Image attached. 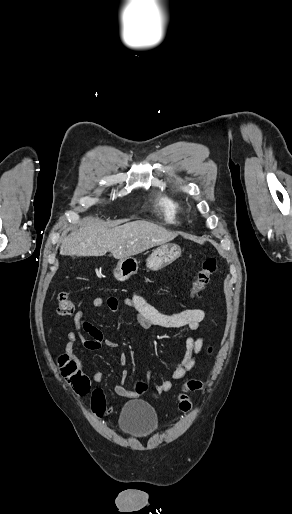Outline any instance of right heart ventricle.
I'll use <instances>...</instances> for the list:
<instances>
[{"label": "right heart ventricle", "mask_w": 292, "mask_h": 514, "mask_svg": "<svg viewBox=\"0 0 292 514\" xmlns=\"http://www.w3.org/2000/svg\"><path fill=\"white\" fill-rule=\"evenodd\" d=\"M156 212L168 223H179L186 212V203L183 198L172 191H157L154 202Z\"/></svg>", "instance_id": "obj_1"}]
</instances>
